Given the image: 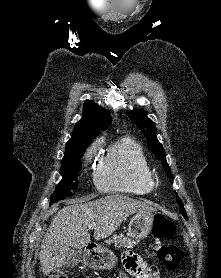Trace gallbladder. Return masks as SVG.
I'll use <instances>...</instances> for the list:
<instances>
[{
  "label": "gallbladder",
  "mask_w": 221,
  "mask_h": 278,
  "mask_svg": "<svg viewBox=\"0 0 221 278\" xmlns=\"http://www.w3.org/2000/svg\"><path fill=\"white\" fill-rule=\"evenodd\" d=\"M82 259V251L80 249L71 250L68 258L65 260L66 267H75Z\"/></svg>",
  "instance_id": "gallbladder-1"
}]
</instances>
